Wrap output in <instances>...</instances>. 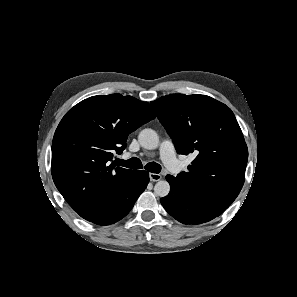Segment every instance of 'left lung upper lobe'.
Wrapping results in <instances>:
<instances>
[{
	"mask_svg": "<svg viewBox=\"0 0 297 297\" xmlns=\"http://www.w3.org/2000/svg\"><path fill=\"white\" fill-rule=\"evenodd\" d=\"M151 104L177 152L197 154L188 172L169 175L173 184L219 216L242 189L248 160L234 113L206 95L171 94Z\"/></svg>",
	"mask_w": 297,
	"mask_h": 297,
	"instance_id": "left-lung-upper-lobe-1",
	"label": "left lung upper lobe"
}]
</instances>
